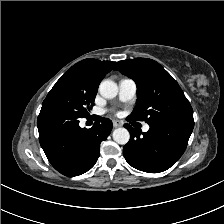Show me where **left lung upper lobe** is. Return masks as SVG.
I'll list each match as a JSON object with an SVG mask.
<instances>
[{
	"label": "left lung upper lobe",
	"instance_id": "left-lung-upper-lobe-1",
	"mask_svg": "<svg viewBox=\"0 0 224 224\" xmlns=\"http://www.w3.org/2000/svg\"><path fill=\"white\" fill-rule=\"evenodd\" d=\"M114 70L130 77L137 85L136 106L130 120L148 124L193 121L192 107L173 77L156 61L148 58L117 62Z\"/></svg>",
	"mask_w": 224,
	"mask_h": 224
}]
</instances>
